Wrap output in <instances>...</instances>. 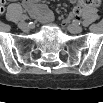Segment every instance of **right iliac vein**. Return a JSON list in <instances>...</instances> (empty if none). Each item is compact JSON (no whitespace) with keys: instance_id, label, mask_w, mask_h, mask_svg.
I'll list each match as a JSON object with an SVG mask.
<instances>
[{"instance_id":"right-iliac-vein-1","label":"right iliac vein","mask_w":103,"mask_h":103,"mask_svg":"<svg viewBox=\"0 0 103 103\" xmlns=\"http://www.w3.org/2000/svg\"><path fill=\"white\" fill-rule=\"evenodd\" d=\"M19 28L21 29H26L28 28V24L25 21H21L20 23H18Z\"/></svg>"}]
</instances>
